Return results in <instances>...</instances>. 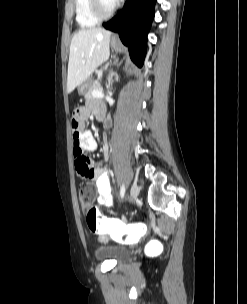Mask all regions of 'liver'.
Here are the masks:
<instances>
[{
  "mask_svg": "<svg viewBox=\"0 0 247 304\" xmlns=\"http://www.w3.org/2000/svg\"><path fill=\"white\" fill-rule=\"evenodd\" d=\"M111 32L102 28L81 29L71 40L67 91L71 93L109 59Z\"/></svg>",
  "mask_w": 247,
  "mask_h": 304,
  "instance_id": "6515ba94",
  "label": "liver"
}]
</instances>
